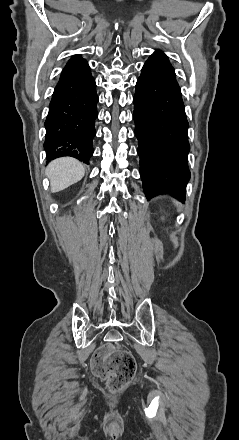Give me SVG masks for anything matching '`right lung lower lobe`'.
<instances>
[{
    "label": "right lung lower lobe",
    "instance_id": "right-lung-lower-lobe-1",
    "mask_svg": "<svg viewBox=\"0 0 239 440\" xmlns=\"http://www.w3.org/2000/svg\"><path fill=\"white\" fill-rule=\"evenodd\" d=\"M97 102L96 83L87 61L70 59L55 87L44 124L47 162L71 156L89 164Z\"/></svg>",
    "mask_w": 239,
    "mask_h": 440
}]
</instances>
